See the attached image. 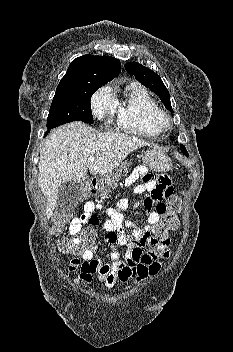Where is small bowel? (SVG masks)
<instances>
[{
  "instance_id": "obj_1",
  "label": "small bowel",
  "mask_w": 233,
  "mask_h": 352,
  "mask_svg": "<svg viewBox=\"0 0 233 352\" xmlns=\"http://www.w3.org/2000/svg\"><path fill=\"white\" fill-rule=\"evenodd\" d=\"M137 180L141 183L134 188L133 192L135 194L147 193L143 202L147 211V223L143 227L139 228L132 221L125 219L123 211L128 208L126 199H120L116 209L103 208L100 203L87 201L83 207L84 212L71 220L68 228L69 234L76 236L83 224L98 225L99 220L95 212L102 211L107 216L103 228L107 231L106 242L110 247L112 257V263L103 264L94 258L93 247L83 251L81 258H74L69 265L71 272L80 267V272L74 279L76 283L90 284L96 274L107 288H113L117 282L127 283L131 280L140 282L156 274L161 268L160 260L169 257V241L165 244L152 243L149 237L161 218L157 207L164 203L165 198L173 194L170 179L166 175H156L146 167L139 166L127 178L126 185H131ZM154 203L157 207L152 211ZM125 228L132 229L130 236L124 234ZM146 244H149L152 249L142 252L140 248ZM122 245L129 247L125 259L120 258L119 247Z\"/></svg>"
}]
</instances>
